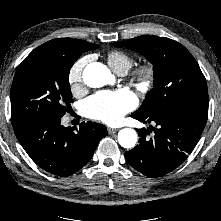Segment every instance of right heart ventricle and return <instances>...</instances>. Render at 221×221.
I'll list each match as a JSON object with an SVG mask.
<instances>
[{
	"label": "right heart ventricle",
	"instance_id": "e07e8e85",
	"mask_svg": "<svg viewBox=\"0 0 221 221\" xmlns=\"http://www.w3.org/2000/svg\"><path fill=\"white\" fill-rule=\"evenodd\" d=\"M107 61L115 72L128 71L133 63V59L129 54L118 50L110 51L107 55Z\"/></svg>",
	"mask_w": 221,
	"mask_h": 221
}]
</instances>
